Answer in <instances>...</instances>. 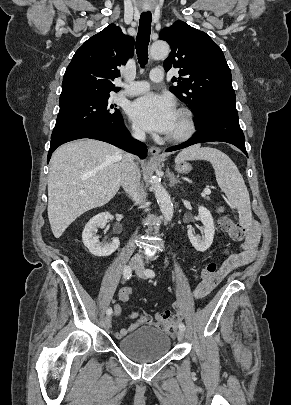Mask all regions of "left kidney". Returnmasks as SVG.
Masks as SVG:
<instances>
[{"label":"left kidney","mask_w":291,"mask_h":405,"mask_svg":"<svg viewBox=\"0 0 291 405\" xmlns=\"http://www.w3.org/2000/svg\"><path fill=\"white\" fill-rule=\"evenodd\" d=\"M198 215L203 224V235H195L192 228L188 229L187 233L192 246L197 251L204 252L212 245L215 227L213 217L207 208L200 206Z\"/></svg>","instance_id":"left-kidney-1"}]
</instances>
